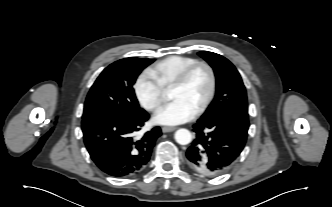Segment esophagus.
I'll use <instances>...</instances> for the list:
<instances>
[{
  "label": "esophagus",
  "instance_id": "34e87169",
  "mask_svg": "<svg viewBox=\"0 0 332 207\" xmlns=\"http://www.w3.org/2000/svg\"><path fill=\"white\" fill-rule=\"evenodd\" d=\"M174 130H176V127H166V126L162 127V132L163 133L172 132Z\"/></svg>",
  "mask_w": 332,
  "mask_h": 207
}]
</instances>
